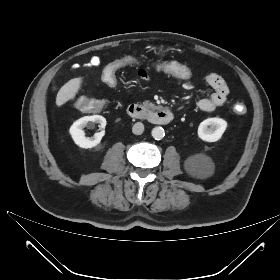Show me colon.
<instances>
[{
	"instance_id": "5ec220e1",
	"label": "colon",
	"mask_w": 280,
	"mask_h": 280,
	"mask_svg": "<svg viewBox=\"0 0 280 280\" xmlns=\"http://www.w3.org/2000/svg\"><path fill=\"white\" fill-rule=\"evenodd\" d=\"M144 68L152 69L159 72L164 77L171 78L175 81L186 82L194 75V70L191 67H187L181 60H168L162 57L155 58L153 56H140L128 54L124 58H117L111 61L103 68L102 77L105 83L108 85L115 84V78L117 72H123L126 68ZM77 108L82 109L88 115H94L100 112L104 108V102L100 98H86L79 96L75 100ZM234 112L238 115L246 113V106L242 103H238L234 106Z\"/></svg>"
}]
</instances>
